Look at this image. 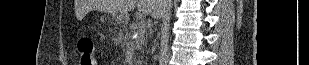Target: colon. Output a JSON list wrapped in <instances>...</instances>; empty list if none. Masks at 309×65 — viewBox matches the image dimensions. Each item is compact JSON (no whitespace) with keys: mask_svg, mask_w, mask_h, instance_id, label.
<instances>
[{"mask_svg":"<svg viewBox=\"0 0 309 65\" xmlns=\"http://www.w3.org/2000/svg\"><path fill=\"white\" fill-rule=\"evenodd\" d=\"M78 51L81 65H97L93 41L90 38L83 37L79 40Z\"/></svg>","mask_w":309,"mask_h":65,"instance_id":"colon-1","label":"colon"}]
</instances>
